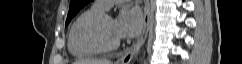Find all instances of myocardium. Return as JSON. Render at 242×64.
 <instances>
[{"label":"myocardium","instance_id":"1","mask_svg":"<svg viewBox=\"0 0 242 64\" xmlns=\"http://www.w3.org/2000/svg\"><path fill=\"white\" fill-rule=\"evenodd\" d=\"M107 17L109 16L105 13L91 17L84 23L79 32L81 42L97 53L111 52L120 45L119 39L112 43H106L100 36L102 24Z\"/></svg>","mask_w":242,"mask_h":64}]
</instances>
